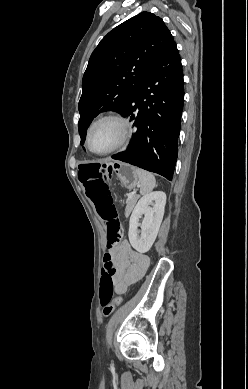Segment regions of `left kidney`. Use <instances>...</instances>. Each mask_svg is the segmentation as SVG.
<instances>
[{"mask_svg": "<svg viewBox=\"0 0 248 389\" xmlns=\"http://www.w3.org/2000/svg\"><path fill=\"white\" fill-rule=\"evenodd\" d=\"M165 204L166 194L162 191L149 193L136 204L130 217L128 237L130 244L138 252L146 253L152 247L163 219ZM142 215L144 219L140 225Z\"/></svg>", "mask_w": 248, "mask_h": 389, "instance_id": "1", "label": "left kidney"}]
</instances>
